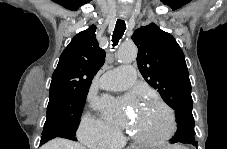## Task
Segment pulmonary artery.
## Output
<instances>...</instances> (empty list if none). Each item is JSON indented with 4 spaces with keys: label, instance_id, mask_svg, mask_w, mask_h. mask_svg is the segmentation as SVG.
I'll return each instance as SVG.
<instances>
[{
    "label": "pulmonary artery",
    "instance_id": "pulmonary-artery-1",
    "mask_svg": "<svg viewBox=\"0 0 227 149\" xmlns=\"http://www.w3.org/2000/svg\"><path fill=\"white\" fill-rule=\"evenodd\" d=\"M136 79L133 66H120L105 72L99 81V86L106 90L120 91L131 87Z\"/></svg>",
    "mask_w": 227,
    "mask_h": 149
}]
</instances>
